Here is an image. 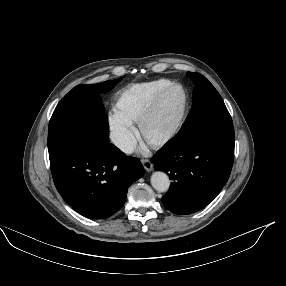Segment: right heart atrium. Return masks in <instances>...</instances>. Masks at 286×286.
Here are the masks:
<instances>
[{"label": "right heart atrium", "mask_w": 286, "mask_h": 286, "mask_svg": "<svg viewBox=\"0 0 286 286\" xmlns=\"http://www.w3.org/2000/svg\"><path fill=\"white\" fill-rule=\"evenodd\" d=\"M108 126L111 140L117 148L124 152H129L134 148L137 136L135 126L117 109L110 110Z\"/></svg>", "instance_id": "right-heart-atrium-1"}]
</instances>
